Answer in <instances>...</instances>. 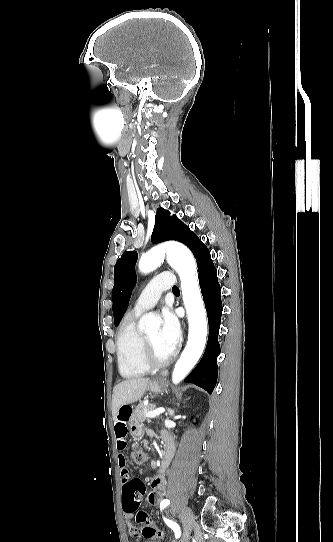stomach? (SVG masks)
<instances>
[{
	"instance_id": "0dacf381",
	"label": "stomach",
	"mask_w": 333,
	"mask_h": 542,
	"mask_svg": "<svg viewBox=\"0 0 333 542\" xmlns=\"http://www.w3.org/2000/svg\"><path fill=\"white\" fill-rule=\"evenodd\" d=\"M166 388H167L166 380H152V382L148 384V390H150V392H153V394H162V392H164ZM130 431H131L132 438L134 440H139L141 438L142 427L140 424L133 423L130 426Z\"/></svg>"
}]
</instances>
